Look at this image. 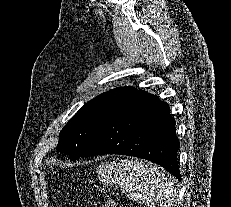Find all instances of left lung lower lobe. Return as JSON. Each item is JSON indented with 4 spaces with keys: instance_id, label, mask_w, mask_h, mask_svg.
I'll return each mask as SVG.
<instances>
[{
    "instance_id": "1",
    "label": "left lung lower lobe",
    "mask_w": 231,
    "mask_h": 207,
    "mask_svg": "<svg viewBox=\"0 0 231 207\" xmlns=\"http://www.w3.org/2000/svg\"><path fill=\"white\" fill-rule=\"evenodd\" d=\"M179 140L169 105L138 91L105 123L81 157L121 154L150 160L181 180Z\"/></svg>"
}]
</instances>
